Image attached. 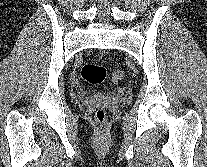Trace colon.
Instances as JSON below:
<instances>
[{"mask_svg":"<svg viewBox=\"0 0 207 167\" xmlns=\"http://www.w3.org/2000/svg\"><path fill=\"white\" fill-rule=\"evenodd\" d=\"M81 77L83 80H85L87 83L92 85H98L101 84L105 78L107 71L103 66L97 65V64H85L81 68ZM125 77V73L123 70H117L114 72L112 81L114 83H118ZM95 118L98 122L102 123L106 119V112L103 108H98L95 113Z\"/></svg>","mask_w":207,"mask_h":167,"instance_id":"obj_1","label":"colon"}]
</instances>
